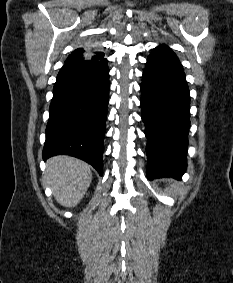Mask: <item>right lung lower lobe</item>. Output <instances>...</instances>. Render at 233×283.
Wrapping results in <instances>:
<instances>
[{
	"mask_svg": "<svg viewBox=\"0 0 233 283\" xmlns=\"http://www.w3.org/2000/svg\"><path fill=\"white\" fill-rule=\"evenodd\" d=\"M109 88L106 59L65 63L53 89L44 160L60 154L74 156L102 175Z\"/></svg>",
	"mask_w": 233,
	"mask_h": 283,
	"instance_id": "right-lung-lower-lobe-1",
	"label": "right lung lower lobe"
}]
</instances>
